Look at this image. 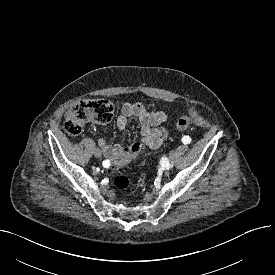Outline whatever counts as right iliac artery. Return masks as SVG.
<instances>
[{"label":"right iliac artery","mask_w":275,"mask_h":275,"mask_svg":"<svg viewBox=\"0 0 275 275\" xmlns=\"http://www.w3.org/2000/svg\"><path fill=\"white\" fill-rule=\"evenodd\" d=\"M103 166L104 167H109L110 166V161L109 160H104L103 161Z\"/></svg>","instance_id":"obj_1"}]
</instances>
